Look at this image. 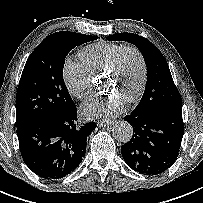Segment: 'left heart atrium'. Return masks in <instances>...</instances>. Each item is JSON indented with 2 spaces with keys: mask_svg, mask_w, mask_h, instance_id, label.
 I'll return each instance as SVG.
<instances>
[{
  "mask_svg": "<svg viewBox=\"0 0 203 203\" xmlns=\"http://www.w3.org/2000/svg\"><path fill=\"white\" fill-rule=\"evenodd\" d=\"M124 107V101L117 96L91 97L81 106L80 113L87 119L107 120L116 116Z\"/></svg>",
  "mask_w": 203,
  "mask_h": 203,
  "instance_id": "39dd6f15",
  "label": "left heart atrium"
}]
</instances>
